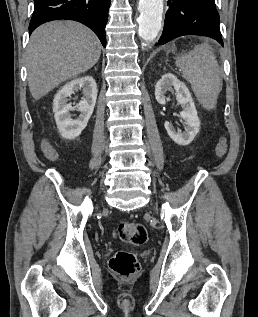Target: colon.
I'll return each mask as SVG.
<instances>
[{
    "label": "colon",
    "mask_w": 258,
    "mask_h": 317,
    "mask_svg": "<svg viewBox=\"0 0 258 317\" xmlns=\"http://www.w3.org/2000/svg\"><path fill=\"white\" fill-rule=\"evenodd\" d=\"M227 151V139L221 137L216 145L217 156H223ZM52 160L57 157L51 156ZM118 237L126 243L142 245L146 242L148 234L146 228L137 222H123L117 229ZM110 270L123 278L135 276L140 270V264L135 254L128 251H118L109 260Z\"/></svg>",
    "instance_id": "1"
}]
</instances>
